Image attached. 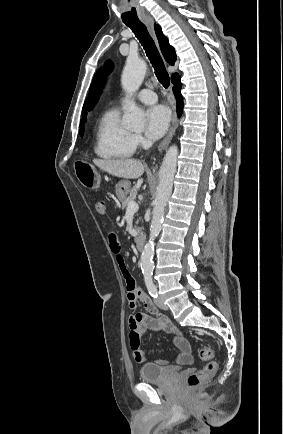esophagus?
<instances>
[{
    "mask_svg": "<svg viewBox=\"0 0 283 434\" xmlns=\"http://www.w3.org/2000/svg\"><path fill=\"white\" fill-rule=\"evenodd\" d=\"M143 22L145 23V25L147 26L148 30L150 31V33L155 38L154 20L151 17H145V18H143ZM177 126H178V120L174 119L173 122H172V126H171L168 134L166 135V137L159 144V147H158L159 151L164 150L168 146L169 142L171 141V139H172V137H173V135H174V133L176 131Z\"/></svg>",
    "mask_w": 283,
    "mask_h": 434,
    "instance_id": "34e87169",
    "label": "esophagus"
}]
</instances>
